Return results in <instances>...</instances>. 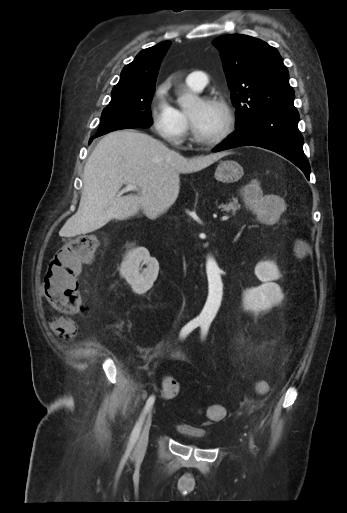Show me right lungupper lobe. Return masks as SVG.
I'll return each mask as SVG.
<instances>
[{"label": "right lung upper lobe", "instance_id": "obj_1", "mask_svg": "<svg viewBox=\"0 0 347 513\" xmlns=\"http://www.w3.org/2000/svg\"><path fill=\"white\" fill-rule=\"evenodd\" d=\"M170 45V41H163L138 53L135 59L123 68L120 80L113 90L155 87L161 61Z\"/></svg>", "mask_w": 347, "mask_h": 513}]
</instances>
